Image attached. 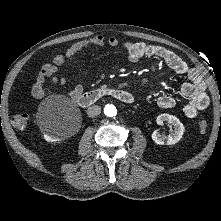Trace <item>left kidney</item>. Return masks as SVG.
<instances>
[{"label": "left kidney", "mask_w": 221, "mask_h": 221, "mask_svg": "<svg viewBox=\"0 0 221 221\" xmlns=\"http://www.w3.org/2000/svg\"><path fill=\"white\" fill-rule=\"evenodd\" d=\"M156 122L159 125L163 124V122H168L172 124L174 128V130L169 135H162L158 130H155L152 133V139L156 144L173 145L182 138L184 133V126L177 117L169 114H161L157 116Z\"/></svg>", "instance_id": "1"}]
</instances>
